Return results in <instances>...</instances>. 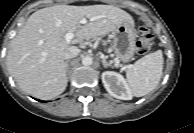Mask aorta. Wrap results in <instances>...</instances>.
Masks as SVG:
<instances>
[{"label": "aorta", "instance_id": "aorta-1", "mask_svg": "<svg viewBox=\"0 0 194 133\" xmlns=\"http://www.w3.org/2000/svg\"><path fill=\"white\" fill-rule=\"evenodd\" d=\"M92 63H93V59L90 56H84L82 58V64L84 66H90V65H92Z\"/></svg>", "mask_w": 194, "mask_h": 133}]
</instances>
